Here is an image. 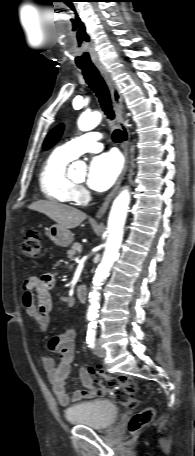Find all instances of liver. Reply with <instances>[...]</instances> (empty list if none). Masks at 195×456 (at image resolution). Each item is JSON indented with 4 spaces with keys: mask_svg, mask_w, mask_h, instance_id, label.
Here are the masks:
<instances>
[{
    "mask_svg": "<svg viewBox=\"0 0 195 456\" xmlns=\"http://www.w3.org/2000/svg\"><path fill=\"white\" fill-rule=\"evenodd\" d=\"M30 209L45 214L67 230L78 227L87 218L86 213L56 201H36Z\"/></svg>",
    "mask_w": 195,
    "mask_h": 456,
    "instance_id": "liver-1",
    "label": "liver"
}]
</instances>
